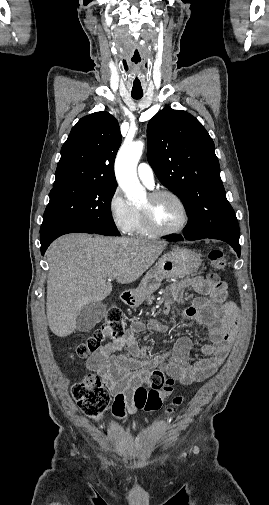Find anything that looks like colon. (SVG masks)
Wrapping results in <instances>:
<instances>
[{
  "label": "colon",
  "mask_w": 269,
  "mask_h": 505,
  "mask_svg": "<svg viewBox=\"0 0 269 505\" xmlns=\"http://www.w3.org/2000/svg\"><path fill=\"white\" fill-rule=\"evenodd\" d=\"M209 265L214 271H221L226 267L225 254L214 249L208 255ZM125 333L124 316L120 308L111 306L102 325L95 331L92 337L81 343L76 354L86 357L96 352L101 343L108 339L122 337ZM174 380L165 375L160 369H153L147 374L143 385L139 386L134 393L136 408L145 411L158 410L162 400L173 391ZM72 395L79 408L90 418L99 420L102 418L108 403L109 396L105 391L101 380L96 376H88L72 388ZM182 403L181 397L173 399L172 407H178Z\"/></svg>",
  "instance_id": "obj_1"
}]
</instances>
